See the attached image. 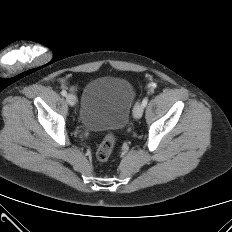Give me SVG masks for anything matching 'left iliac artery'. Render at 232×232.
I'll return each instance as SVG.
<instances>
[{
  "label": "left iliac artery",
  "mask_w": 232,
  "mask_h": 232,
  "mask_svg": "<svg viewBox=\"0 0 232 232\" xmlns=\"http://www.w3.org/2000/svg\"><path fill=\"white\" fill-rule=\"evenodd\" d=\"M147 103H148V98L145 97V98L143 99V101H142L143 107H146Z\"/></svg>",
  "instance_id": "left-iliac-artery-1"
}]
</instances>
